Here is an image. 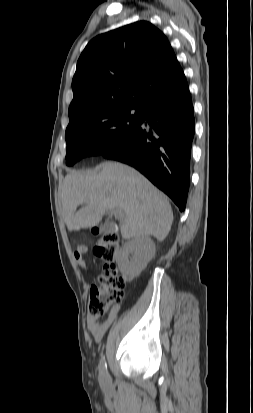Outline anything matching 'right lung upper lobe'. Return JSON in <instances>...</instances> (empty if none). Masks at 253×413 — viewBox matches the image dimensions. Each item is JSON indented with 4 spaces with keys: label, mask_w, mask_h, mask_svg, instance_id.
I'll list each match as a JSON object with an SVG mask.
<instances>
[{
    "label": "right lung upper lobe",
    "mask_w": 253,
    "mask_h": 413,
    "mask_svg": "<svg viewBox=\"0 0 253 413\" xmlns=\"http://www.w3.org/2000/svg\"><path fill=\"white\" fill-rule=\"evenodd\" d=\"M70 121L113 106L143 109L188 90L183 70L165 35L139 21L92 39L72 80Z\"/></svg>",
    "instance_id": "right-lung-upper-lobe-1"
}]
</instances>
